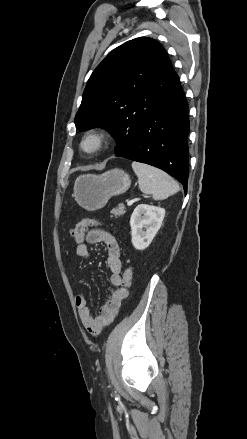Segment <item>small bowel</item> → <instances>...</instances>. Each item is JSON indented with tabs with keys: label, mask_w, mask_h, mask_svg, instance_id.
Instances as JSON below:
<instances>
[{
	"label": "small bowel",
	"mask_w": 247,
	"mask_h": 439,
	"mask_svg": "<svg viewBox=\"0 0 247 439\" xmlns=\"http://www.w3.org/2000/svg\"><path fill=\"white\" fill-rule=\"evenodd\" d=\"M104 243L107 253V266L110 271L109 298L94 315L91 312L90 304L83 294L75 297V304L78 314L85 329L92 335H99L104 327L110 324L117 316L121 302L128 295L127 289L122 286V262L120 259V246L116 238L109 232L102 229H91L86 233L85 241L76 247L79 257L90 256L89 245Z\"/></svg>",
	"instance_id": "1"
}]
</instances>
